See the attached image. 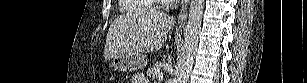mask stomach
Here are the masks:
<instances>
[{
    "label": "stomach",
    "instance_id": "1",
    "mask_svg": "<svg viewBox=\"0 0 307 83\" xmlns=\"http://www.w3.org/2000/svg\"><path fill=\"white\" fill-rule=\"evenodd\" d=\"M146 58L142 55H117L112 58V65L116 70L127 72L135 71L146 65Z\"/></svg>",
    "mask_w": 307,
    "mask_h": 83
}]
</instances>
